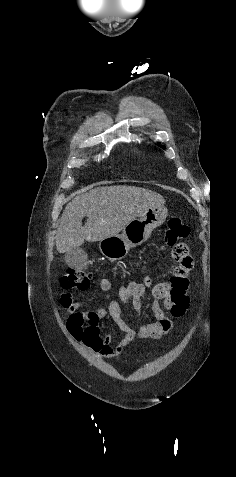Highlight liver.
<instances>
[{
	"label": "liver",
	"mask_w": 236,
	"mask_h": 477,
	"mask_svg": "<svg viewBox=\"0 0 236 477\" xmlns=\"http://www.w3.org/2000/svg\"><path fill=\"white\" fill-rule=\"evenodd\" d=\"M164 198L135 186H102L76 196L63 211L56 234V249L65 253L84 241L97 242L118 235L130 222ZM87 223L82 226V219Z\"/></svg>",
	"instance_id": "1"
}]
</instances>
